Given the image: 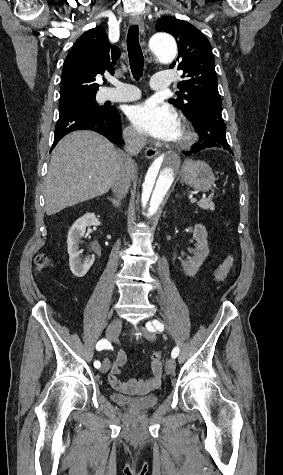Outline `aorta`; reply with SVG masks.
<instances>
[{
    "label": "aorta",
    "instance_id": "aorta-1",
    "mask_svg": "<svg viewBox=\"0 0 283 475\" xmlns=\"http://www.w3.org/2000/svg\"><path fill=\"white\" fill-rule=\"evenodd\" d=\"M149 48L164 64L171 63L177 54L174 38L165 33L154 34L149 41ZM179 167L180 156L173 151L160 155L151 164L142 184L138 212L140 225H149L157 221Z\"/></svg>",
    "mask_w": 283,
    "mask_h": 475
}]
</instances>
